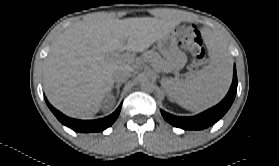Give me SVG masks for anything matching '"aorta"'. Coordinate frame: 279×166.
Returning a JSON list of instances; mask_svg holds the SVG:
<instances>
[{
  "label": "aorta",
  "mask_w": 279,
  "mask_h": 166,
  "mask_svg": "<svg viewBox=\"0 0 279 166\" xmlns=\"http://www.w3.org/2000/svg\"><path fill=\"white\" fill-rule=\"evenodd\" d=\"M140 87L143 91L152 92L154 89V84L149 78L142 79Z\"/></svg>",
  "instance_id": "762f6f07"
}]
</instances>
